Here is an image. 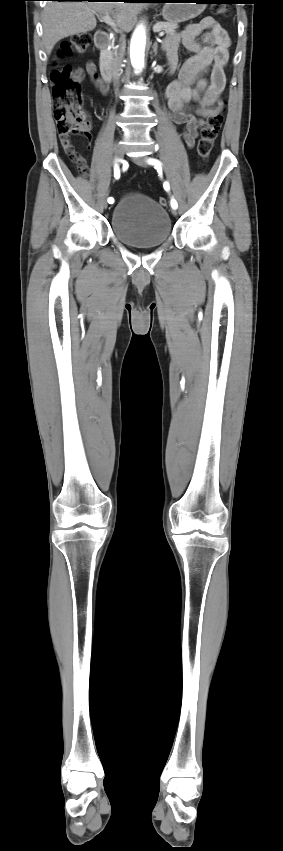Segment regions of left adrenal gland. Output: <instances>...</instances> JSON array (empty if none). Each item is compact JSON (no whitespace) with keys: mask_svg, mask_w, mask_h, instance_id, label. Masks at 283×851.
Masks as SVG:
<instances>
[{"mask_svg":"<svg viewBox=\"0 0 283 851\" xmlns=\"http://www.w3.org/2000/svg\"><path fill=\"white\" fill-rule=\"evenodd\" d=\"M157 48H158V44H157V42H155L154 45H153V51H154L155 55L157 54Z\"/></svg>","mask_w":283,"mask_h":851,"instance_id":"obj_1","label":"left adrenal gland"}]
</instances>
